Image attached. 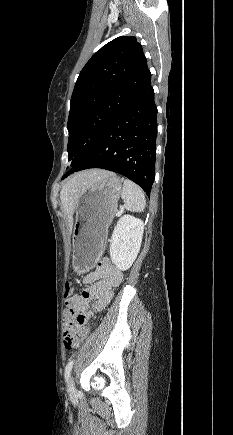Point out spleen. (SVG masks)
Returning <instances> with one entry per match:
<instances>
[{
    "label": "spleen",
    "mask_w": 233,
    "mask_h": 435,
    "mask_svg": "<svg viewBox=\"0 0 233 435\" xmlns=\"http://www.w3.org/2000/svg\"><path fill=\"white\" fill-rule=\"evenodd\" d=\"M121 197L125 201V208L131 212H142L146 205L143 190L129 179L124 180Z\"/></svg>",
    "instance_id": "1"
}]
</instances>
